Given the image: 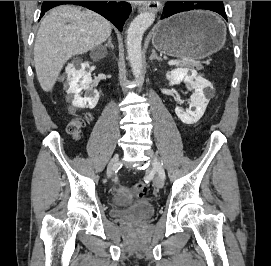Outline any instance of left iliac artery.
Returning a JSON list of instances; mask_svg holds the SVG:
<instances>
[{"mask_svg": "<svg viewBox=\"0 0 271 266\" xmlns=\"http://www.w3.org/2000/svg\"><path fill=\"white\" fill-rule=\"evenodd\" d=\"M159 174L161 175V177H162L163 179H165V172H164L163 169L159 168Z\"/></svg>", "mask_w": 271, "mask_h": 266, "instance_id": "44dca946", "label": "left iliac artery"}]
</instances>
